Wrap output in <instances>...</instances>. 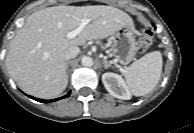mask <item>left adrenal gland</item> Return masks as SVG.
<instances>
[{
  "label": "left adrenal gland",
  "instance_id": "obj_1",
  "mask_svg": "<svg viewBox=\"0 0 194 133\" xmlns=\"http://www.w3.org/2000/svg\"><path fill=\"white\" fill-rule=\"evenodd\" d=\"M104 68L108 69L109 67H112V65L104 58L103 59Z\"/></svg>",
  "mask_w": 194,
  "mask_h": 133
}]
</instances>
